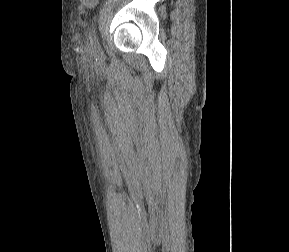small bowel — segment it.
<instances>
[{"mask_svg":"<svg viewBox=\"0 0 289 252\" xmlns=\"http://www.w3.org/2000/svg\"><path fill=\"white\" fill-rule=\"evenodd\" d=\"M98 0H81L82 5L85 8L92 9L97 5Z\"/></svg>","mask_w":289,"mask_h":252,"instance_id":"obj_1","label":"small bowel"}]
</instances>
